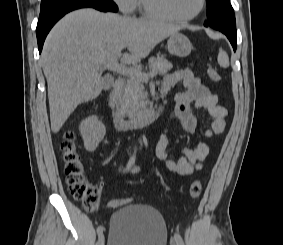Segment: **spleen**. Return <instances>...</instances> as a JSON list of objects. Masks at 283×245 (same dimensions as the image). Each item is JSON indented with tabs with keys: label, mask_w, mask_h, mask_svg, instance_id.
Instances as JSON below:
<instances>
[{
	"label": "spleen",
	"mask_w": 283,
	"mask_h": 245,
	"mask_svg": "<svg viewBox=\"0 0 283 245\" xmlns=\"http://www.w3.org/2000/svg\"><path fill=\"white\" fill-rule=\"evenodd\" d=\"M217 60H218V63L221 67H223V68L229 67V57L223 49H219V54H218Z\"/></svg>",
	"instance_id": "3e777b00"
}]
</instances>
